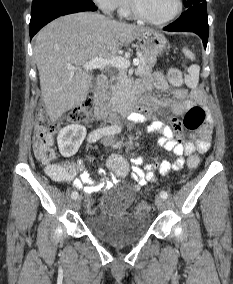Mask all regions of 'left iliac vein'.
I'll list each match as a JSON object with an SVG mask.
<instances>
[{
	"label": "left iliac vein",
	"mask_w": 233,
	"mask_h": 284,
	"mask_svg": "<svg viewBox=\"0 0 233 284\" xmlns=\"http://www.w3.org/2000/svg\"><path fill=\"white\" fill-rule=\"evenodd\" d=\"M155 204H156L158 210H160V211L164 210V208H165V200L162 197L156 196Z\"/></svg>",
	"instance_id": "1"
}]
</instances>
